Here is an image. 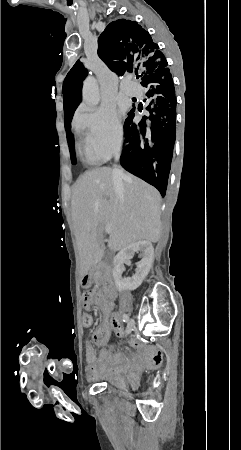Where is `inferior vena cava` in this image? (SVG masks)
<instances>
[{
	"mask_svg": "<svg viewBox=\"0 0 241 450\" xmlns=\"http://www.w3.org/2000/svg\"><path fill=\"white\" fill-rule=\"evenodd\" d=\"M120 158V154H116L115 156V162H118ZM123 170H119V168H114L112 172V180H113V186L116 188V190H123Z\"/></svg>",
	"mask_w": 241,
	"mask_h": 450,
	"instance_id": "1",
	"label": "inferior vena cava"
}]
</instances>
